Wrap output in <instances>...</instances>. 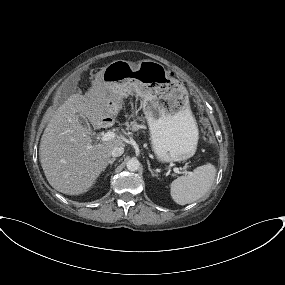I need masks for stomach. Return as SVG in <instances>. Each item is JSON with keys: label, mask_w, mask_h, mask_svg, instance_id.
<instances>
[{"label": "stomach", "mask_w": 285, "mask_h": 285, "mask_svg": "<svg viewBox=\"0 0 285 285\" xmlns=\"http://www.w3.org/2000/svg\"><path fill=\"white\" fill-rule=\"evenodd\" d=\"M102 79L126 96L135 92L142 98L152 149L160 162L183 161L195 154L198 128L188 91L162 64L116 60L105 67Z\"/></svg>", "instance_id": "obj_1"}]
</instances>
